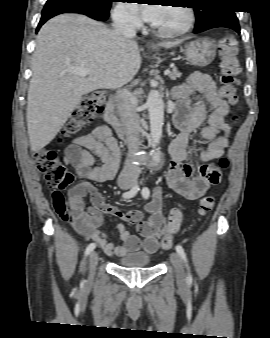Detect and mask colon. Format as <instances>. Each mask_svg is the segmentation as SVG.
Instances as JSON below:
<instances>
[{
	"mask_svg": "<svg viewBox=\"0 0 270 338\" xmlns=\"http://www.w3.org/2000/svg\"><path fill=\"white\" fill-rule=\"evenodd\" d=\"M219 50L221 56V84L224 95L234 101V94L238 84L237 76L240 73V63L238 60V42L233 36H224L219 40ZM105 96L102 93H92L83 98L72 113L69 121L63 128L64 136H71L79 132L93 122V120L103 112ZM236 122V117H233ZM33 161L36 168L45 176L48 187L53 191V207L55 211L63 215L60 205V192L66 189L73 181L72 173L59 161L58 153L53 149H39L33 154ZM229 161L221 158L217 165L210 168L218 172L219 169H227ZM215 205V197L206 195L201 199L199 213L205 215L209 213ZM182 212L175 209L169 216V221L165 227V232L161 238V246L168 250L173 245L174 234L179 230L182 223Z\"/></svg>",
	"mask_w": 270,
	"mask_h": 338,
	"instance_id": "colon-1",
	"label": "colon"
}]
</instances>
